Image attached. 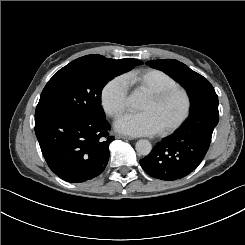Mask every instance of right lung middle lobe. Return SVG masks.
I'll return each mask as SVG.
<instances>
[{
  "label": "right lung middle lobe",
  "instance_id": "obj_1",
  "mask_svg": "<svg viewBox=\"0 0 245 245\" xmlns=\"http://www.w3.org/2000/svg\"><path fill=\"white\" fill-rule=\"evenodd\" d=\"M142 64L137 59L114 60L99 54L80 57L60 69L44 87L35 117L66 113L104 119L100 95L106 83Z\"/></svg>",
  "mask_w": 245,
  "mask_h": 245
}]
</instances>
